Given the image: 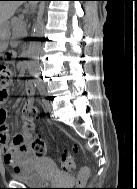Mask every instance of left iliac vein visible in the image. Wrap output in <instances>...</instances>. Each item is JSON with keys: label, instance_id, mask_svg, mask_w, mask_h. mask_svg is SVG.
<instances>
[{"label": "left iliac vein", "instance_id": "1", "mask_svg": "<svg viewBox=\"0 0 137 189\" xmlns=\"http://www.w3.org/2000/svg\"><path fill=\"white\" fill-rule=\"evenodd\" d=\"M44 106H45V109H46L47 111L51 110V108H52V105H51V102H50V101H45V102H44Z\"/></svg>", "mask_w": 137, "mask_h": 189}]
</instances>
